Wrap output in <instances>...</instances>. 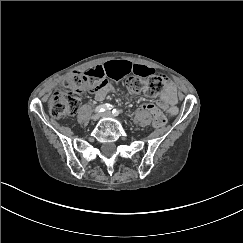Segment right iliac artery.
Returning a JSON list of instances; mask_svg holds the SVG:
<instances>
[{"label": "right iliac artery", "mask_w": 243, "mask_h": 243, "mask_svg": "<svg viewBox=\"0 0 243 243\" xmlns=\"http://www.w3.org/2000/svg\"><path fill=\"white\" fill-rule=\"evenodd\" d=\"M113 108V106L111 104H102L99 105L95 108V112L100 113V112H104L106 110H111Z\"/></svg>", "instance_id": "1"}]
</instances>
